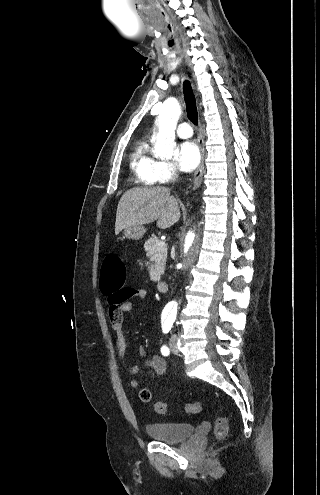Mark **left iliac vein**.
<instances>
[{"instance_id":"left-iliac-vein-1","label":"left iliac vein","mask_w":320,"mask_h":495,"mask_svg":"<svg viewBox=\"0 0 320 495\" xmlns=\"http://www.w3.org/2000/svg\"><path fill=\"white\" fill-rule=\"evenodd\" d=\"M177 337L176 335H172L171 338H170V341H169V346H170V350L172 351V353L174 354H178V348H177Z\"/></svg>"}]
</instances>
